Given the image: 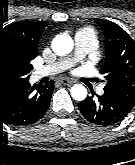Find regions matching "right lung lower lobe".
Returning a JSON list of instances; mask_svg holds the SVG:
<instances>
[{"label": "right lung lower lobe", "mask_w": 135, "mask_h": 165, "mask_svg": "<svg viewBox=\"0 0 135 165\" xmlns=\"http://www.w3.org/2000/svg\"><path fill=\"white\" fill-rule=\"evenodd\" d=\"M53 81L30 86L28 81H0V121L27 124L40 119L49 107Z\"/></svg>", "instance_id": "98d812e1"}]
</instances>
